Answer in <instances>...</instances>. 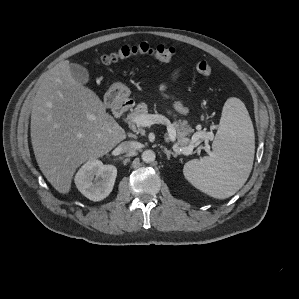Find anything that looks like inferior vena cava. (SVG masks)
Returning <instances> with one entry per match:
<instances>
[{
  "instance_id": "1",
  "label": "inferior vena cava",
  "mask_w": 299,
  "mask_h": 299,
  "mask_svg": "<svg viewBox=\"0 0 299 299\" xmlns=\"http://www.w3.org/2000/svg\"><path fill=\"white\" fill-rule=\"evenodd\" d=\"M138 142L135 141H124L120 143L118 149L122 153H130L135 151L138 148Z\"/></svg>"
}]
</instances>
